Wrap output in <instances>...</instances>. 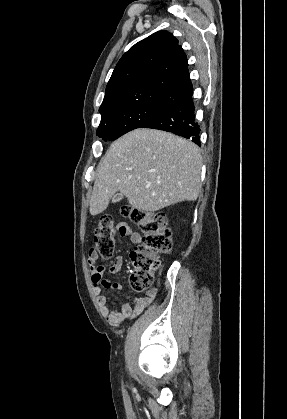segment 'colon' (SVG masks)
I'll return each instance as SVG.
<instances>
[{"label": "colon", "mask_w": 287, "mask_h": 419, "mask_svg": "<svg viewBox=\"0 0 287 419\" xmlns=\"http://www.w3.org/2000/svg\"><path fill=\"white\" fill-rule=\"evenodd\" d=\"M123 214L142 232L141 244L130 253L132 263L131 286L136 292L150 288L153 275L159 267L158 254L172 248V236L167 217L162 212L124 209ZM118 227L110 214L102 215L94 230V252L102 258H110L116 246Z\"/></svg>", "instance_id": "1"}]
</instances>
